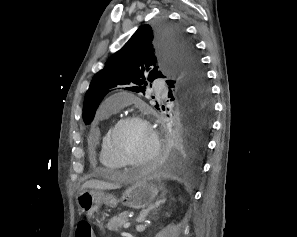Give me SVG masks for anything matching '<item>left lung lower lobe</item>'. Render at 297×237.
Instances as JSON below:
<instances>
[{"mask_svg": "<svg viewBox=\"0 0 297 237\" xmlns=\"http://www.w3.org/2000/svg\"><path fill=\"white\" fill-rule=\"evenodd\" d=\"M174 95L170 88L168 96L176 100L182 128L169 137L162 161L166 167L183 169L195 165L206 147L212 105L197 106L188 98H174Z\"/></svg>", "mask_w": 297, "mask_h": 237, "instance_id": "left-lung-lower-lobe-1", "label": "left lung lower lobe"}]
</instances>
